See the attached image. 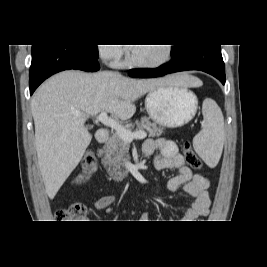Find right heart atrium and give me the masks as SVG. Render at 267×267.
<instances>
[{"mask_svg":"<svg viewBox=\"0 0 267 267\" xmlns=\"http://www.w3.org/2000/svg\"><path fill=\"white\" fill-rule=\"evenodd\" d=\"M99 54L103 60L117 65L124 55V49L118 45H101L99 46Z\"/></svg>","mask_w":267,"mask_h":267,"instance_id":"1","label":"right heart atrium"}]
</instances>
